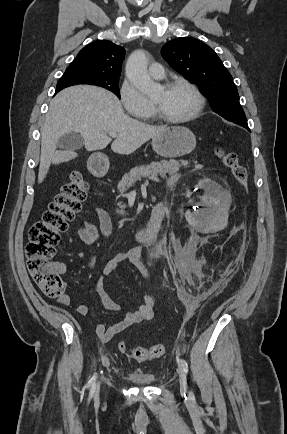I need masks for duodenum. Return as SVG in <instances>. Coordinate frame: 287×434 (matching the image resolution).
<instances>
[{"label": "duodenum", "mask_w": 287, "mask_h": 434, "mask_svg": "<svg viewBox=\"0 0 287 434\" xmlns=\"http://www.w3.org/2000/svg\"><path fill=\"white\" fill-rule=\"evenodd\" d=\"M94 172L98 175L102 174L108 167L109 162L105 157H94L91 161ZM164 204H157L151 212L150 218L146 225L140 228L134 235L137 242L149 243L157 235L159 228L164 219Z\"/></svg>", "instance_id": "obj_1"}]
</instances>
